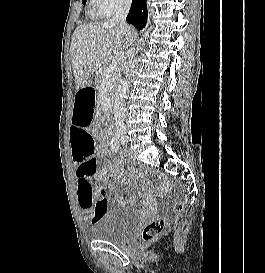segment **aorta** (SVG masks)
<instances>
[{"label": "aorta", "instance_id": "1", "mask_svg": "<svg viewBox=\"0 0 265 273\" xmlns=\"http://www.w3.org/2000/svg\"><path fill=\"white\" fill-rule=\"evenodd\" d=\"M129 92V83L123 81L113 94V114L117 125H122L125 119V99Z\"/></svg>", "mask_w": 265, "mask_h": 273}]
</instances>
